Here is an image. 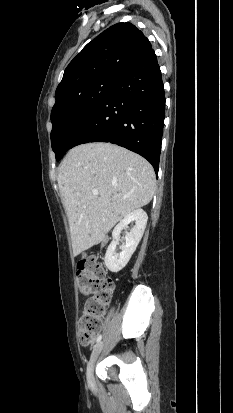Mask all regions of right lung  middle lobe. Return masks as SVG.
<instances>
[{"mask_svg":"<svg viewBox=\"0 0 233 413\" xmlns=\"http://www.w3.org/2000/svg\"><path fill=\"white\" fill-rule=\"evenodd\" d=\"M115 80V77L98 78L56 99L51 112V143L57 161L71 147Z\"/></svg>","mask_w":233,"mask_h":413,"instance_id":"obj_1","label":"right lung middle lobe"}]
</instances>
